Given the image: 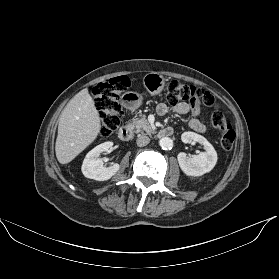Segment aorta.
Segmentation results:
<instances>
[{
  "mask_svg": "<svg viewBox=\"0 0 279 279\" xmlns=\"http://www.w3.org/2000/svg\"><path fill=\"white\" fill-rule=\"evenodd\" d=\"M159 144L164 150H171L173 147V141L169 137H163L159 140Z\"/></svg>",
  "mask_w": 279,
  "mask_h": 279,
  "instance_id": "762f6f07",
  "label": "aorta"
}]
</instances>
